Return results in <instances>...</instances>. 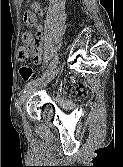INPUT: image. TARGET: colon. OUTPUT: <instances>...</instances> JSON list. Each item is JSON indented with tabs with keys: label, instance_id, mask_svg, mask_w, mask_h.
Returning a JSON list of instances; mask_svg holds the SVG:
<instances>
[{
	"label": "colon",
	"instance_id": "1",
	"mask_svg": "<svg viewBox=\"0 0 123 167\" xmlns=\"http://www.w3.org/2000/svg\"><path fill=\"white\" fill-rule=\"evenodd\" d=\"M18 58L23 62L20 67V76L24 81H28L34 77L35 72L28 62L29 50L25 46H20L18 49ZM70 92L75 97H81L86 92V87L83 84L74 85L70 88Z\"/></svg>",
	"mask_w": 123,
	"mask_h": 167
}]
</instances>
